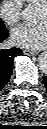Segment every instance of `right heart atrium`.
Masks as SVG:
<instances>
[{
    "label": "right heart atrium",
    "instance_id": "1",
    "mask_svg": "<svg viewBox=\"0 0 47 129\" xmlns=\"http://www.w3.org/2000/svg\"><path fill=\"white\" fill-rule=\"evenodd\" d=\"M22 0H2L0 17L10 27L17 25L22 18Z\"/></svg>",
    "mask_w": 47,
    "mask_h": 129
}]
</instances>
